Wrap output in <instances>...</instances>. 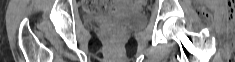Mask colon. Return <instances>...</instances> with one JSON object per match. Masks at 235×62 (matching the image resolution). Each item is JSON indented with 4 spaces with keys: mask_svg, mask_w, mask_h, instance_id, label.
<instances>
[{
    "mask_svg": "<svg viewBox=\"0 0 235 62\" xmlns=\"http://www.w3.org/2000/svg\"><path fill=\"white\" fill-rule=\"evenodd\" d=\"M94 6V5H93ZM109 5L108 4H106V3H103V5H101V6H94L95 8H97V9H99V10H101V11H108L109 10V7H108ZM111 37L112 38H114L115 37V32H111Z\"/></svg>",
    "mask_w": 235,
    "mask_h": 62,
    "instance_id": "colon-1",
    "label": "colon"
}]
</instances>
